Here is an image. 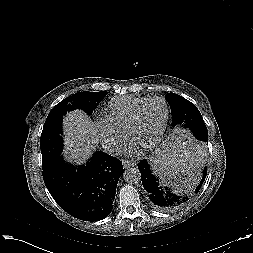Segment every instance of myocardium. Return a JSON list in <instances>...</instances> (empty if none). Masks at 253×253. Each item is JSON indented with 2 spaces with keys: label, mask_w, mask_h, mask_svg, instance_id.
I'll return each mask as SVG.
<instances>
[{
  "label": "myocardium",
  "mask_w": 253,
  "mask_h": 253,
  "mask_svg": "<svg viewBox=\"0 0 253 253\" xmlns=\"http://www.w3.org/2000/svg\"><path fill=\"white\" fill-rule=\"evenodd\" d=\"M154 100H161L165 104L166 116H165L164 124H163L160 132L156 136V138L150 144L144 146V149H146V150H152L155 147H157L159 145V143L161 142V140L163 139V136L165 135V132L167 130L169 118H170V105H169V102L164 97L153 96V97H150L147 100H145L143 103H141L138 106V108L136 109V111L130 121V124L128 126L127 132H126V136L128 137V139L132 140L133 133L138 125L142 111L150 102H152Z\"/></svg>",
  "instance_id": "obj_1"
}]
</instances>
